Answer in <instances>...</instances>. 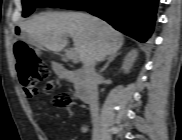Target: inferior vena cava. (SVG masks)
<instances>
[{"mask_svg": "<svg viewBox=\"0 0 182 140\" xmlns=\"http://www.w3.org/2000/svg\"><path fill=\"white\" fill-rule=\"evenodd\" d=\"M85 74V84L88 94V104L90 107L92 122L96 123L98 120V74L95 70V64H88L83 66Z\"/></svg>", "mask_w": 182, "mask_h": 140, "instance_id": "inferior-vena-cava-1", "label": "inferior vena cava"}]
</instances>
